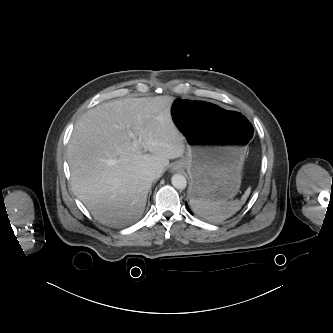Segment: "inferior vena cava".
<instances>
[{"mask_svg":"<svg viewBox=\"0 0 333 333\" xmlns=\"http://www.w3.org/2000/svg\"><path fill=\"white\" fill-rule=\"evenodd\" d=\"M140 176L142 179L153 181L159 176V172L151 169H146L141 172Z\"/></svg>","mask_w":333,"mask_h":333,"instance_id":"obj_1","label":"inferior vena cava"}]
</instances>
